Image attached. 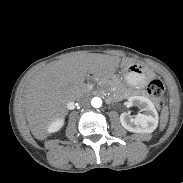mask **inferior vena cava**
<instances>
[{
	"label": "inferior vena cava",
	"instance_id": "inferior-vena-cava-1",
	"mask_svg": "<svg viewBox=\"0 0 183 183\" xmlns=\"http://www.w3.org/2000/svg\"><path fill=\"white\" fill-rule=\"evenodd\" d=\"M77 100L81 105H86L89 103V98L87 96H80Z\"/></svg>",
	"mask_w": 183,
	"mask_h": 183
}]
</instances>
